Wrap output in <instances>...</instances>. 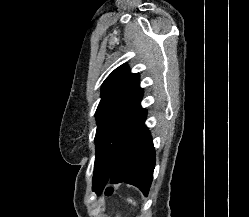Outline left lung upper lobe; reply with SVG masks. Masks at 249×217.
Instances as JSON below:
<instances>
[{
	"label": "left lung upper lobe",
	"mask_w": 249,
	"mask_h": 217,
	"mask_svg": "<svg viewBox=\"0 0 249 217\" xmlns=\"http://www.w3.org/2000/svg\"><path fill=\"white\" fill-rule=\"evenodd\" d=\"M101 91V101L95 113V169L102 167L110 172L114 165L120 126L140 104L143 89L139 86L138 74L130 73L128 66L123 64L105 79Z\"/></svg>",
	"instance_id": "1"
}]
</instances>
